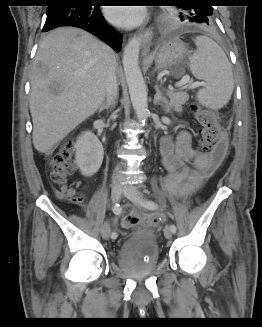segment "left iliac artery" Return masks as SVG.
Here are the masks:
<instances>
[{
	"label": "left iliac artery",
	"mask_w": 262,
	"mask_h": 327,
	"mask_svg": "<svg viewBox=\"0 0 262 327\" xmlns=\"http://www.w3.org/2000/svg\"><path fill=\"white\" fill-rule=\"evenodd\" d=\"M141 203L144 207H146L150 210H155L157 208V204L155 202H153L152 200H141ZM170 230L172 231V233H175L176 226L174 224H172L170 226Z\"/></svg>",
	"instance_id": "44dca946"
}]
</instances>
